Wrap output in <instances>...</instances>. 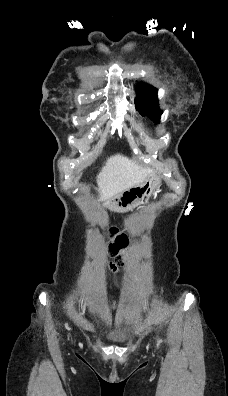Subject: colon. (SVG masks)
Here are the masks:
<instances>
[{
  "label": "colon",
  "mask_w": 228,
  "mask_h": 396,
  "mask_svg": "<svg viewBox=\"0 0 228 396\" xmlns=\"http://www.w3.org/2000/svg\"><path fill=\"white\" fill-rule=\"evenodd\" d=\"M108 236L112 239L109 245L110 255L116 258L118 264L122 262L123 254L129 251V240L125 233L121 232L117 227H110Z\"/></svg>",
  "instance_id": "colon-1"
}]
</instances>
